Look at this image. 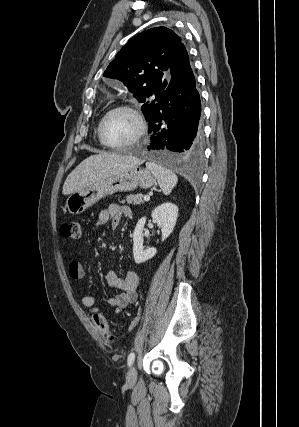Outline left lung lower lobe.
I'll return each instance as SVG.
<instances>
[{
  "label": "left lung lower lobe",
  "instance_id": "1",
  "mask_svg": "<svg viewBox=\"0 0 299 427\" xmlns=\"http://www.w3.org/2000/svg\"><path fill=\"white\" fill-rule=\"evenodd\" d=\"M147 149L161 161L194 159L202 154L201 101L189 56L180 43L170 67V79L149 110Z\"/></svg>",
  "mask_w": 299,
  "mask_h": 427
}]
</instances>
